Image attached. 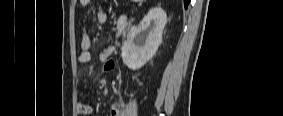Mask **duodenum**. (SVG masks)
<instances>
[{"label": "duodenum", "mask_w": 283, "mask_h": 116, "mask_svg": "<svg viewBox=\"0 0 283 116\" xmlns=\"http://www.w3.org/2000/svg\"><path fill=\"white\" fill-rule=\"evenodd\" d=\"M127 24H128L127 17L125 15L120 16L117 22L118 35H121L126 31Z\"/></svg>", "instance_id": "duodenum-1"}]
</instances>
